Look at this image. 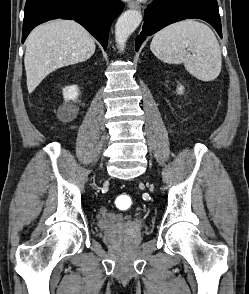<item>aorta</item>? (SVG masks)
I'll use <instances>...</instances> for the list:
<instances>
[{"instance_id":"aorta-1","label":"aorta","mask_w":249,"mask_h":294,"mask_svg":"<svg viewBox=\"0 0 249 294\" xmlns=\"http://www.w3.org/2000/svg\"><path fill=\"white\" fill-rule=\"evenodd\" d=\"M142 21V15L137 10H127L117 20L115 26V40L117 47L123 51L129 36Z\"/></svg>"}]
</instances>
